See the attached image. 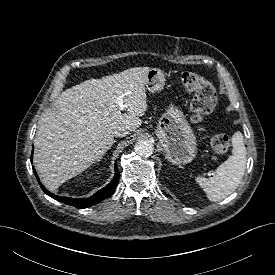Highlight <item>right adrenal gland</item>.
Returning <instances> with one entry per match:
<instances>
[{"mask_svg": "<svg viewBox=\"0 0 275 275\" xmlns=\"http://www.w3.org/2000/svg\"><path fill=\"white\" fill-rule=\"evenodd\" d=\"M114 142H115V141H114ZM114 142H113V143H114ZM101 159H102V157L99 159V161H100Z\"/></svg>", "mask_w": 275, "mask_h": 275, "instance_id": "right-adrenal-gland-1", "label": "right adrenal gland"}]
</instances>
